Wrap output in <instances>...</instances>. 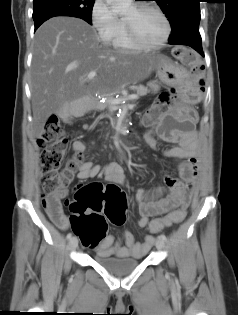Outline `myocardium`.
Segmentation results:
<instances>
[{"mask_svg":"<svg viewBox=\"0 0 238 315\" xmlns=\"http://www.w3.org/2000/svg\"><path fill=\"white\" fill-rule=\"evenodd\" d=\"M134 8H135L136 13H141L143 11H153L157 13L164 22L165 34H164V37L155 44L144 43L138 38L132 21L127 18H124L127 37H128L129 42L139 50H155L165 45L167 41L169 40L171 31H172L171 23L168 17L166 16V14L159 7L155 5H151V4H138V5H135Z\"/></svg>","mask_w":238,"mask_h":315,"instance_id":"f54148a6","label":"myocardium"}]
</instances>
